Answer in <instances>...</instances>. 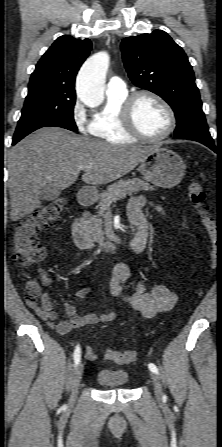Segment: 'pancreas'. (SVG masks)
Listing matches in <instances>:
<instances>
[{
	"instance_id": "obj_1",
	"label": "pancreas",
	"mask_w": 222,
	"mask_h": 447,
	"mask_svg": "<svg viewBox=\"0 0 222 447\" xmlns=\"http://www.w3.org/2000/svg\"><path fill=\"white\" fill-rule=\"evenodd\" d=\"M142 190H154V187L139 178H133L120 180L109 186L106 191H103L99 195V214L91 215L87 213L85 218L84 224L91 238L96 242L104 240L103 221L100 217L110 208L112 203L120 198H125L127 194L133 195Z\"/></svg>"
}]
</instances>
